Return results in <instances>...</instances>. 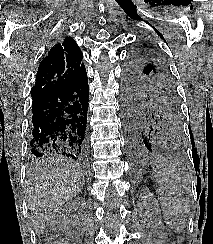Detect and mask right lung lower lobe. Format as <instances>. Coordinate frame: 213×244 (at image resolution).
Here are the masks:
<instances>
[{
    "label": "right lung lower lobe",
    "instance_id": "right-lung-lower-lobe-1",
    "mask_svg": "<svg viewBox=\"0 0 213 244\" xmlns=\"http://www.w3.org/2000/svg\"><path fill=\"white\" fill-rule=\"evenodd\" d=\"M30 152L34 157L77 159L87 151L89 86L86 69L69 85L32 95Z\"/></svg>",
    "mask_w": 213,
    "mask_h": 244
}]
</instances>
